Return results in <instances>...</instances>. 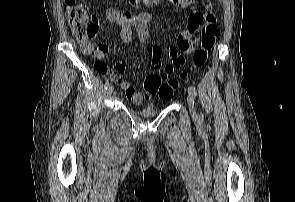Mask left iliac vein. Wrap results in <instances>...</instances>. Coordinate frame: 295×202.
<instances>
[{"label": "left iliac vein", "mask_w": 295, "mask_h": 202, "mask_svg": "<svg viewBox=\"0 0 295 202\" xmlns=\"http://www.w3.org/2000/svg\"><path fill=\"white\" fill-rule=\"evenodd\" d=\"M187 102H188L191 114L193 115V117H196V110H195V106H194V98H193L191 93H189L188 96H187Z\"/></svg>", "instance_id": "left-iliac-vein-1"}]
</instances>
